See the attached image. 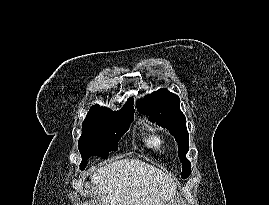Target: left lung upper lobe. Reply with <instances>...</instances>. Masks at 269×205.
<instances>
[{
  "instance_id": "left-lung-upper-lobe-1",
  "label": "left lung upper lobe",
  "mask_w": 269,
  "mask_h": 205,
  "mask_svg": "<svg viewBox=\"0 0 269 205\" xmlns=\"http://www.w3.org/2000/svg\"><path fill=\"white\" fill-rule=\"evenodd\" d=\"M138 112L149 116L161 127L167 128L178 143V157L182 162L183 179L191 173V163L186 158L189 150L186 118L179 108V97L165 89L154 92L137 102Z\"/></svg>"
}]
</instances>
